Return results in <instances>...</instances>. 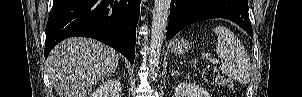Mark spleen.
Returning <instances> with one entry per match:
<instances>
[{
	"instance_id": "1",
	"label": "spleen",
	"mask_w": 302,
	"mask_h": 97,
	"mask_svg": "<svg viewBox=\"0 0 302 97\" xmlns=\"http://www.w3.org/2000/svg\"><path fill=\"white\" fill-rule=\"evenodd\" d=\"M212 30L217 35L216 54L224 60L220 66L221 71L241 83H248L251 67L242 43L224 26H217Z\"/></svg>"
}]
</instances>
